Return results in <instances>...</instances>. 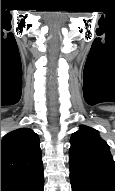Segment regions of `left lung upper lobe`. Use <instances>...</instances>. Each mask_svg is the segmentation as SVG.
Listing matches in <instances>:
<instances>
[{"instance_id":"obj_1","label":"left lung upper lobe","mask_w":115,"mask_h":191,"mask_svg":"<svg viewBox=\"0 0 115 191\" xmlns=\"http://www.w3.org/2000/svg\"><path fill=\"white\" fill-rule=\"evenodd\" d=\"M69 163L74 166L99 170L115 177V163L108 144L98 131L81 126L70 139Z\"/></svg>"}]
</instances>
